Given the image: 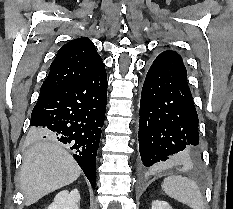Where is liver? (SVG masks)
Segmentation results:
<instances>
[{
    "instance_id": "1",
    "label": "liver",
    "mask_w": 233,
    "mask_h": 209,
    "mask_svg": "<svg viewBox=\"0 0 233 209\" xmlns=\"http://www.w3.org/2000/svg\"><path fill=\"white\" fill-rule=\"evenodd\" d=\"M31 134L39 141L26 152L21 167L20 183L26 206L73 183L81 174L76 161L60 144L40 140L45 133L38 128H33Z\"/></svg>"
}]
</instances>
